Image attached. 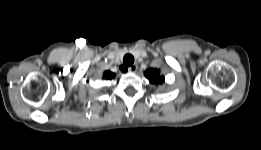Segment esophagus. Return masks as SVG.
<instances>
[{"instance_id": "1", "label": "esophagus", "mask_w": 261, "mask_h": 150, "mask_svg": "<svg viewBox=\"0 0 261 150\" xmlns=\"http://www.w3.org/2000/svg\"><path fill=\"white\" fill-rule=\"evenodd\" d=\"M128 71L131 72V73H134L137 71V65H131L129 68H128Z\"/></svg>"}]
</instances>
